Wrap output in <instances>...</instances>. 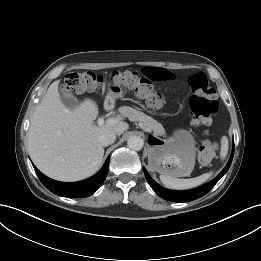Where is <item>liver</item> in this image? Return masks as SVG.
Listing matches in <instances>:
<instances>
[{"label": "liver", "mask_w": 261, "mask_h": 261, "mask_svg": "<svg viewBox=\"0 0 261 261\" xmlns=\"http://www.w3.org/2000/svg\"><path fill=\"white\" fill-rule=\"evenodd\" d=\"M60 80L48 88L37 106L28 130V150L36 167L59 181H79L96 173L104 148L99 137L107 132L120 136L129 129L126 122L97 126L95 101L87 98L74 110L61 101Z\"/></svg>", "instance_id": "obj_1"}]
</instances>
